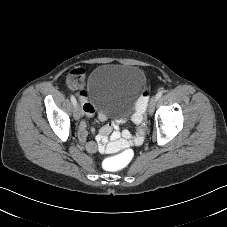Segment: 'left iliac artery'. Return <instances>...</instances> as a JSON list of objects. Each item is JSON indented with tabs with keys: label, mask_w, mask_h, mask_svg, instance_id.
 Segmentation results:
<instances>
[{
	"label": "left iliac artery",
	"mask_w": 227,
	"mask_h": 227,
	"mask_svg": "<svg viewBox=\"0 0 227 227\" xmlns=\"http://www.w3.org/2000/svg\"><path fill=\"white\" fill-rule=\"evenodd\" d=\"M163 95V91H159L157 94H156V98L157 100Z\"/></svg>",
	"instance_id": "1"
}]
</instances>
